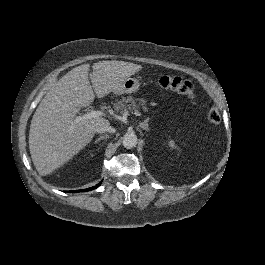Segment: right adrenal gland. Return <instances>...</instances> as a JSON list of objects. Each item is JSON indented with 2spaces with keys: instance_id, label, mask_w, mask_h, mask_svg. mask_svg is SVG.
<instances>
[{
  "instance_id": "1",
  "label": "right adrenal gland",
  "mask_w": 265,
  "mask_h": 265,
  "mask_svg": "<svg viewBox=\"0 0 265 265\" xmlns=\"http://www.w3.org/2000/svg\"><path fill=\"white\" fill-rule=\"evenodd\" d=\"M109 138V135L105 134V135H101L97 140H95V144L98 143L100 140H105L107 141V139ZM99 150V149H98Z\"/></svg>"
}]
</instances>
